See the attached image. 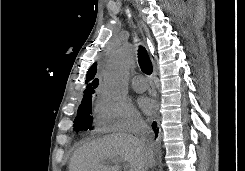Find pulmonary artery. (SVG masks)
<instances>
[{
    "label": "pulmonary artery",
    "mask_w": 245,
    "mask_h": 171,
    "mask_svg": "<svg viewBox=\"0 0 245 171\" xmlns=\"http://www.w3.org/2000/svg\"><path fill=\"white\" fill-rule=\"evenodd\" d=\"M131 85L136 92H144L147 89V82L141 75L134 76L132 78Z\"/></svg>",
    "instance_id": "pulmonary-artery-1"
}]
</instances>
